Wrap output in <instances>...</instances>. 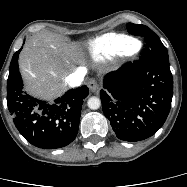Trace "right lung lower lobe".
Returning <instances> with one entry per match:
<instances>
[{
    "label": "right lung lower lobe",
    "mask_w": 187,
    "mask_h": 187,
    "mask_svg": "<svg viewBox=\"0 0 187 187\" xmlns=\"http://www.w3.org/2000/svg\"><path fill=\"white\" fill-rule=\"evenodd\" d=\"M21 49L12 57L7 80V105L14 124L21 135L36 147H64L77 135L81 106L89 90L87 86L69 90L53 104L31 97L23 91L19 73L18 55Z\"/></svg>",
    "instance_id": "98d812e1"
}]
</instances>
